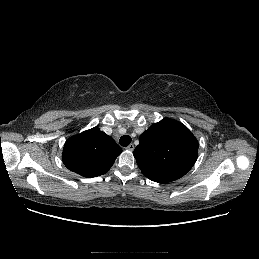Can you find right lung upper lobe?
<instances>
[{"instance_id":"1","label":"right lung upper lobe","mask_w":259,"mask_h":259,"mask_svg":"<svg viewBox=\"0 0 259 259\" xmlns=\"http://www.w3.org/2000/svg\"><path fill=\"white\" fill-rule=\"evenodd\" d=\"M122 149L112 137L94 127L70 137L63 148V163L84 177L105 174L121 154Z\"/></svg>"}]
</instances>
